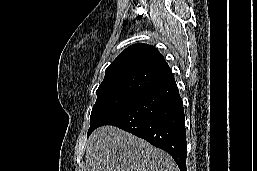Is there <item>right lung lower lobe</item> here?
<instances>
[{
    "mask_svg": "<svg viewBox=\"0 0 257 171\" xmlns=\"http://www.w3.org/2000/svg\"><path fill=\"white\" fill-rule=\"evenodd\" d=\"M102 125L117 126L168 152L186 171V129L174 76L148 88L110 115Z\"/></svg>",
    "mask_w": 257,
    "mask_h": 171,
    "instance_id": "right-lung-lower-lobe-1",
    "label": "right lung lower lobe"
}]
</instances>
